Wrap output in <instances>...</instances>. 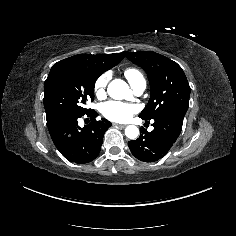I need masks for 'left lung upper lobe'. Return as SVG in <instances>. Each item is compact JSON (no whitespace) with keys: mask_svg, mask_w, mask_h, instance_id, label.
Wrapping results in <instances>:
<instances>
[{"mask_svg":"<svg viewBox=\"0 0 236 236\" xmlns=\"http://www.w3.org/2000/svg\"><path fill=\"white\" fill-rule=\"evenodd\" d=\"M124 54L131 62L141 66L148 75L151 96L139 114L140 118L150 120L176 109L187 111L190 86L182 68L176 62L153 51Z\"/></svg>","mask_w":236,"mask_h":236,"instance_id":"left-lung-upper-lobe-1","label":"left lung upper lobe"}]
</instances>
